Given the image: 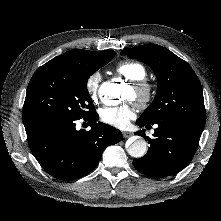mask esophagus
Segmentation results:
<instances>
[{"mask_svg": "<svg viewBox=\"0 0 221 221\" xmlns=\"http://www.w3.org/2000/svg\"><path fill=\"white\" fill-rule=\"evenodd\" d=\"M132 135V133H130V132H123V137L124 138H128V137H130Z\"/></svg>", "mask_w": 221, "mask_h": 221, "instance_id": "34e87169", "label": "esophagus"}]
</instances>
